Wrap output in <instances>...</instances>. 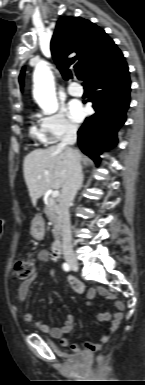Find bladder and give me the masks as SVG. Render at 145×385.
<instances>
[{
    "mask_svg": "<svg viewBox=\"0 0 145 385\" xmlns=\"http://www.w3.org/2000/svg\"><path fill=\"white\" fill-rule=\"evenodd\" d=\"M79 356L84 360L85 359V355L83 353H80Z\"/></svg>",
    "mask_w": 145,
    "mask_h": 385,
    "instance_id": "obj_1",
    "label": "bladder"
}]
</instances>
